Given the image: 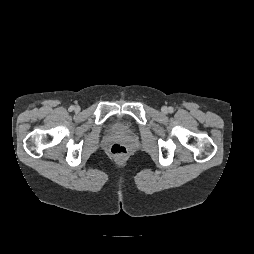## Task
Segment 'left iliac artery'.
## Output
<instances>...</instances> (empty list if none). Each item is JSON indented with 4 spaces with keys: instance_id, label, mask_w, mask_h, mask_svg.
<instances>
[{
    "instance_id": "1",
    "label": "left iliac artery",
    "mask_w": 254,
    "mask_h": 254,
    "mask_svg": "<svg viewBox=\"0 0 254 254\" xmlns=\"http://www.w3.org/2000/svg\"><path fill=\"white\" fill-rule=\"evenodd\" d=\"M168 111H169L170 113H172V112L174 111V109H173L172 107H169V108H168Z\"/></svg>"
}]
</instances>
